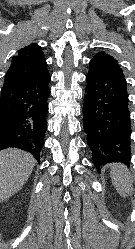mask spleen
<instances>
[{
  "mask_svg": "<svg viewBox=\"0 0 135 249\" xmlns=\"http://www.w3.org/2000/svg\"><path fill=\"white\" fill-rule=\"evenodd\" d=\"M110 177L117 192L123 198L127 197L133 190L132 179L128 169L122 164H112Z\"/></svg>",
  "mask_w": 135,
  "mask_h": 249,
  "instance_id": "1",
  "label": "spleen"
}]
</instances>
